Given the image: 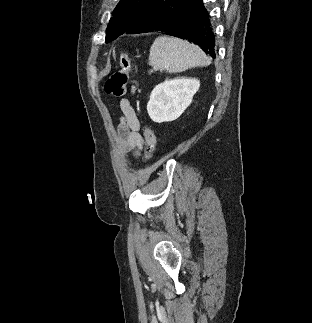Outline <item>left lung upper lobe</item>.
I'll use <instances>...</instances> for the list:
<instances>
[{
	"label": "left lung upper lobe",
	"instance_id": "left-lung-upper-lobe-1",
	"mask_svg": "<svg viewBox=\"0 0 312 323\" xmlns=\"http://www.w3.org/2000/svg\"><path fill=\"white\" fill-rule=\"evenodd\" d=\"M172 2L173 0H120L114 14H122L126 18L110 19L106 41H111L124 32L135 34L151 31L170 12Z\"/></svg>",
	"mask_w": 312,
	"mask_h": 323
}]
</instances>
